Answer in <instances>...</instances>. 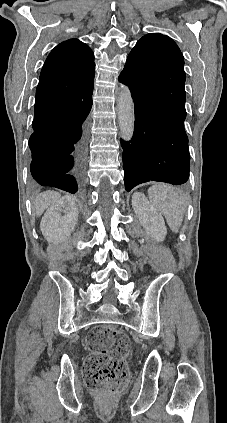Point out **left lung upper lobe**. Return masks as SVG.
<instances>
[{
	"label": "left lung upper lobe",
	"instance_id": "1",
	"mask_svg": "<svg viewBox=\"0 0 227 423\" xmlns=\"http://www.w3.org/2000/svg\"><path fill=\"white\" fill-rule=\"evenodd\" d=\"M183 66V55L171 38L147 34L131 50L119 80L146 91L158 111L183 113L186 112Z\"/></svg>",
	"mask_w": 227,
	"mask_h": 423
}]
</instances>
